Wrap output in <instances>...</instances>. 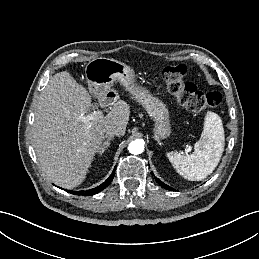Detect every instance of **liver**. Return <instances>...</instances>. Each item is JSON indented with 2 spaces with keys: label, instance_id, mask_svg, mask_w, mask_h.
Listing matches in <instances>:
<instances>
[{
  "label": "liver",
  "instance_id": "liver-1",
  "mask_svg": "<svg viewBox=\"0 0 259 259\" xmlns=\"http://www.w3.org/2000/svg\"><path fill=\"white\" fill-rule=\"evenodd\" d=\"M91 102L86 88L67 71L56 73L37 101L35 152L42 170L60 187L70 189L84 181L109 128L125 133L130 116L127 103H114L108 114L87 124L79 117L85 115Z\"/></svg>",
  "mask_w": 259,
  "mask_h": 259
}]
</instances>
